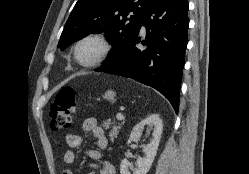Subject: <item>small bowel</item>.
<instances>
[{
    "instance_id": "c3829d8e",
    "label": "small bowel",
    "mask_w": 249,
    "mask_h": 174,
    "mask_svg": "<svg viewBox=\"0 0 249 174\" xmlns=\"http://www.w3.org/2000/svg\"><path fill=\"white\" fill-rule=\"evenodd\" d=\"M82 131L85 133H90L93 139L96 142L98 149H89L84 152V155L93 159H101V150H104L108 147V139L105 136L104 130L98 126L95 118L90 117L86 118L82 123ZM67 145L71 148L67 150L63 155V160L66 164H72L76 160V153L73 149H77L82 145L83 138L79 134L69 133L65 137ZM90 168L96 169L99 174H115L114 167L108 163H90ZM63 174H73L70 170H65Z\"/></svg>"
}]
</instances>
